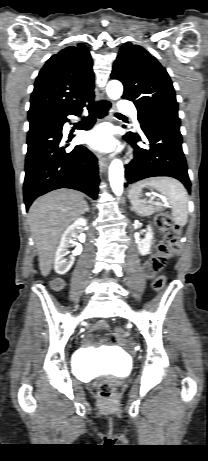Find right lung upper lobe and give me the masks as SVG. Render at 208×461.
<instances>
[{
  "label": "right lung upper lobe",
  "instance_id": "obj_1",
  "mask_svg": "<svg viewBox=\"0 0 208 461\" xmlns=\"http://www.w3.org/2000/svg\"><path fill=\"white\" fill-rule=\"evenodd\" d=\"M92 59L84 44L53 55L39 72L28 119L51 120L81 110L94 99Z\"/></svg>",
  "mask_w": 208,
  "mask_h": 461
}]
</instances>
